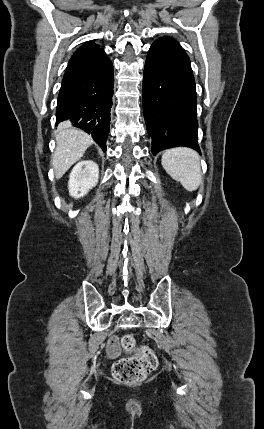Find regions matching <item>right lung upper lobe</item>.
<instances>
[{"label": "right lung upper lobe", "mask_w": 264, "mask_h": 429, "mask_svg": "<svg viewBox=\"0 0 264 429\" xmlns=\"http://www.w3.org/2000/svg\"><path fill=\"white\" fill-rule=\"evenodd\" d=\"M99 46L90 41L82 45L71 57L68 66L100 51Z\"/></svg>", "instance_id": "right-lung-upper-lobe-1"}]
</instances>
